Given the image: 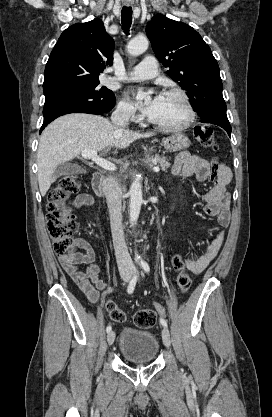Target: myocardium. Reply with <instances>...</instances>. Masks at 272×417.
<instances>
[{
    "label": "myocardium",
    "instance_id": "f54148a6",
    "mask_svg": "<svg viewBox=\"0 0 272 417\" xmlns=\"http://www.w3.org/2000/svg\"><path fill=\"white\" fill-rule=\"evenodd\" d=\"M164 95L176 96L180 98L183 104L185 105L187 116L184 121L175 125L159 124L154 122L152 119L150 120L151 124H153L157 129L164 132H178L187 129L194 122L196 116L193 103L188 94L182 89L173 88L165 91Z\"/></svg>",
    "mask_w": 272,
    "mask_h": 417
}]
</instances>
